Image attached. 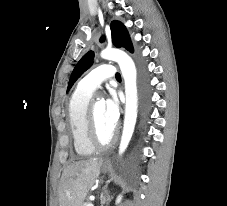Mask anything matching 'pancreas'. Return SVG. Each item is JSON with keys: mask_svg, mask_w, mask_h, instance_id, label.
<instances>
[{"mask_svg": "<svg viewBox=\"0 0 227 206\" xmlns=\"http://www.w3.org/2000/svg\"><path fill=\"white\" fill-rule=\"evenodd\" d=\"M87 202L83 203L82 206H86Z\"/></svg>", "mask_w": 227, "mask_h": 206, "instance_id": "obj_1", "label": "pancreas"}]
</instances>
